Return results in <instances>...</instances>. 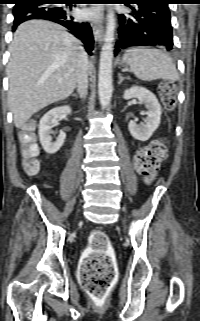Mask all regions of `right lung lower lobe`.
Masks as SVG:
<instances>
[{"mask_svg":"<svg viewBox=\"0 0 200 321\" xmlns=\"http://www.w3.org/2000/svg\"><path fill=\"white\" fill-rule=\"evenodd\" d=\"M76 0H26L13 8V31L21 23L31 19H45L68 28L85 44L86 51L91 55L93 50L92 29L88 23L76 21L69 10L62 6L75 3Z\"/></svg>","mask_w":200,"mask_h":321,"instance_id":"right-lung-lower-lobe-1","label":"right lung lower lobe"}]
</instances>
